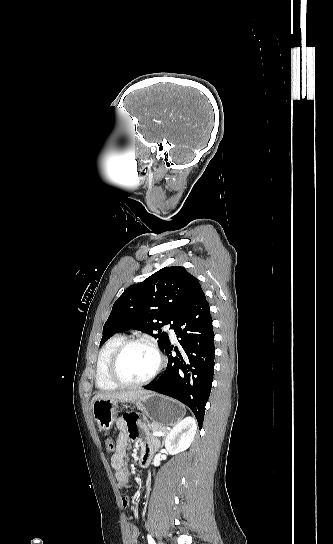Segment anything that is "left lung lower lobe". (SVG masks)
Wrapping results in <instances>:
<instances>
[{"label": "left lung lower lobe", "instance_id": "left-lung-lower-lobe-1", "mask_svg": "<svg viewBox=\"0 0 333 544\" xmlns=\"http://www.w3.org/2000/svg\"><path fill=\"white\" fill-rule=\"evenodd\" d=\"M173 329L180 338L182 352L169 343L164 349L168 356L165 373L144 389L170 396L187 405L201 429L212 387L215 357L212 318L204 293L188 307ZM172 350L177 352V356L171 355Z\"/></svg>", "mask_w": 333, "mask_h": 544}]
</instances>
